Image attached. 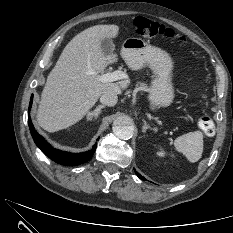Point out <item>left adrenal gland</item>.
Segmentation results:
<instances>
[{"label": "left adrenal gland", "mask_w": 233, "mask_h": 233, "mask_svg": "<svg viewBox=\"0 0 233 233\" xmlns=\"http://www.w3.org/2000/svg\"><path fill=\"white\" fill-rule=\"evenodd\" d=\"M144 125L142 127V132L145 133L147 131V129L153 130V131H157V128H153L150 125L147 124L146 120L142 119Z\"/></svg>", "instance_id": "a2214340"}]
</instances>
